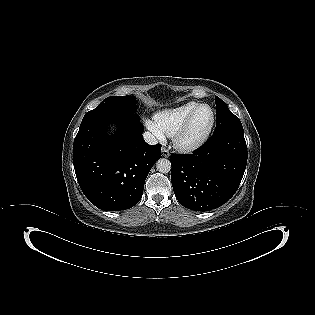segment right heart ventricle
I'll list each match as a JSON object with an SVG mask.
<instances>
[{
    "instance_id": "e07e8e85",
    "label": "right heart ventricle",
    "mask_w": 315,
    "mask_h": 315,
    "mask_svg": "<svg viewBox=\"0 0 315 315\" xmlns=\"http://www.w3.org/2000/svg\"><path fill=\"white\" fill-rule=\"evenodd\" d=\"M199 104L196 101H189L160 111L155 115V122L165 135L171 137Z\"/></svg>"
}]
</instances>
